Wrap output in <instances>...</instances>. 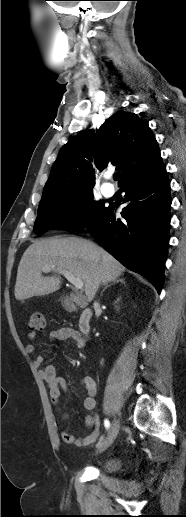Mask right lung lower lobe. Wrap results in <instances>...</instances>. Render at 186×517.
Instances as JSON below:
<instances>
[{"label":"right lung lower lobe","mask_w":186,"mask_h":517,"mask_svg":"<svg viewBox=\"0 0 186 517\" xmlns=\"http://www.w3.org/2000/svg\"><path fill=\"white\" fill-rule=\"evenodd\" d=\"M123 186L130 202L116 219L113 206L86 226L95 239L130 270L150 280L158 293L163 284L169 242L170 181L161 162Z\"/></svg>","instance_id":"98d812e1"}]
</instances>
